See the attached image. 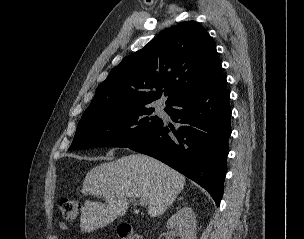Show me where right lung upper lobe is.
Wrapping results in <instances>:
<instances>
[{
	"label": "right lung upper lobe",
	"mask_w": 304,
	"mask_h": 239,
	"mask_svg": "<svg viewBox=\"0 0 304 239\" xmlns=\"http://www.w3.org/2000/svg\"><path fill=\"white\" fill-rule=\"evenodd\" d=\"M221 71L215 43L206 30L195 21L181 22L113 68L82 118L112 108L147 105L163 94L168 105Z\"/></svg>",
	"instance_id": "cb5924a9"
}]
</instances>
